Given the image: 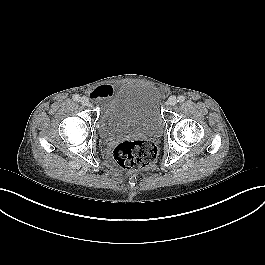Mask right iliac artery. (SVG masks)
I'll return each mask as SVG.
<instances>
[{"mask_svg":"<svg viewBox=\"0 0 265 265\" xmlns=\"http://www.w3.org/2000/svg\"><path fill=\"white\" fill-rule=\"evenodd\" d=\"M73 100L76 101V102H79L80 101V96L75 94L73 95Z\"/></svg>","mask_w":265,"mask_h":265,"instance_id":"obj_1","label":"right iliac artery"}]
</instances>
